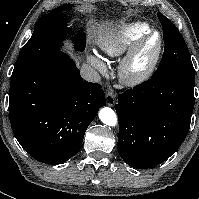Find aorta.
I'll list each match as a JSON object with an SVG mask.
<instances>
[{
	"instance_id": "aorta-1",
	"label": "aorta",
	"mask_w": 199,
	"mask_h": 199,
	"mask_svg": "<svg viewBox=\"0 0 199 199\" xmlns=\"http://www.w3.org/2000/svg\"><path fill=\"white\" fill-rule=\"evenodd\" d=\"M99 118L105 125L115 126L117 124L116 114L109 107H104L99 111Z\"/></svg>"
}]
</instances>
